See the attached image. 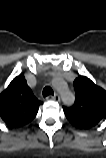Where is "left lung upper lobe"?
<instances>
[{"label": "left lung upper lobe", "instance_id": "obj_1", "mask_svg": "<svg viewBox=\"0 0 106 158\" xmlns=\"http://www.w3.org/2000/svg\"><path fill=\"white\" fill-rule=\"evenodd\" d=\"M73 84L75 103L64 107V113L74 127L90 129L106 118V91L81 75Z\"/></svg>", "mask_w": 106, "mask_h": 158}]
</instances>
